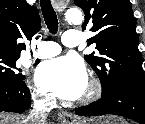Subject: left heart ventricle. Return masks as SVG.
Returning a JSON list of instances; mask_svg holds the SVG:
<instances>
[{"mask_svg":"<svg viewBox=\"0 0 145 124\" xmlns=\"http://www.w3.org/2000/svg\"><path fill=\"white\" fill-rule=\"evenodd\" d=\"M87 91H88V85H87V87H86V89H85L83 95H85V94L87 93ZM83 95H82V96H83Z\"/></svg>","mask_w":145,"mask_h":124,"instance_id":"1","label":"left heart ventricle"}]
</instances>
